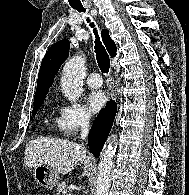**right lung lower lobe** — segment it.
I'll return each instance as SVG.
<instances>
[{
    "mask_svg": "<svg viewBox=\"0 0 189 195\" xmlns=\"http://www.w3.org/2000/svg\"><path fill=\"white\" fill-rule=\"evenodd\" d=\"M117 111V104L110 100L106 107L101 109L89 132L88 144L95 157H99L100 151L110 133Z\"/></svg>",
    "mask_w": 189,
    "mask_h": 195,
    "instance_id": "98d812e1",
    "label": "right lung lower lobe"
}]
</instances>
